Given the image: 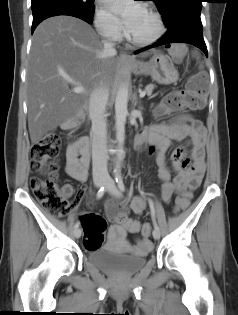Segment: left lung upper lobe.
Segmentation results:
<instances>
[{
	"label": "left lung upper lobe",
	"mask_w": 238,
	"mask_h": 315,
	"mask_svg": "<svg viewBox=\"0 0 238 315\" xmlns=\"http://www.w3.org/2000/svg\"><path fill=\"white\" fill-rule=\"evenodd\" d=\"M163 16L164 24L172 22L183 11L202 8V0H152Z\"/></svg>",
	"instance_id": "left-lung-upper-lobe-1"
}]
</instances>
